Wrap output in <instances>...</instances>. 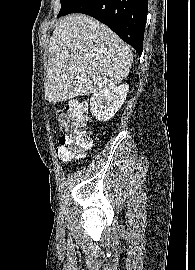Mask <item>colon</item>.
<instances>
[{
  "mask_svg": "<svg viewBox=\"0 0 195 270\" xmlns=\"http://www.w3.org/2000/svg\"><path fill=\"white\" fill-rule=\"evenodd\" d=\"M57 122L63 135L57 154L62 161H70L91 143L88 130V112L83 102L71 100L66 111H57Z\"/></svg>",
  "mask_w": 195,
  "mask_h": 270,
  "instance_id": "1",
  "label": "colon"
}]
</instances>
